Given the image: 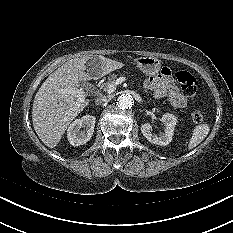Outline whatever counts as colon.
I'll use <instances>...</instances> for the list:
<instances>
[{
	"mask_svg": "<svg viewBox=\"0 0 233 233\" xmlns=\"http://www.w3.org/2000/svg\"><path fill=\"white\" fill-rule=\"evenodd\" d=\"M175 78L177 82L180 84L184 94L193 98L197 92V80L196 78L189 72L180 70L175 73ZM191 118L195 123H200L203 120V113L199 108H193L191 111Z\"/></svg>",
	"mask_w": 233,
	"mask_h": 233,
	"instance_id": "colon-1",
	"label": "colon"
}]
</instances>
